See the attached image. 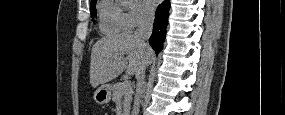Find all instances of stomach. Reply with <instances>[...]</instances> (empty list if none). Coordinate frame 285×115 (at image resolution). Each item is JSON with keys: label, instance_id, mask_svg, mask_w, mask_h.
I'll use <instances>...</instances> for the list:
<instances>
[{"label": "stomach", "instance_id": "1", "mask_svg": "<svg viewBox=\"0 0 285 115\" xmlns=\"http://www.w3.org/2000/svg\"><path fill=\"white\" fill-rule=\"evenodd\" d=\"M111 92H112V86L107 84L102 85L94 93L95 102L100 105L107 104L111 100V95H112Z\"/></svg>", "mask_w": 285, "mask_h": 115}]
</instances>
